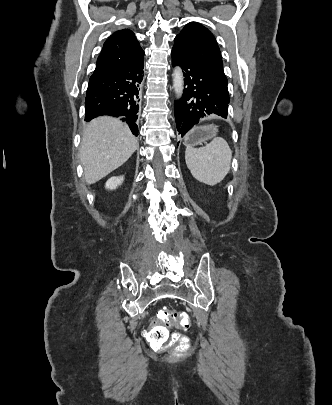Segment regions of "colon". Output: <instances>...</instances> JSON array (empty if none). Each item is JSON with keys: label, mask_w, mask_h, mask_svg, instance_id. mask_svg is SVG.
I'll list each match as a JSON object with an SVG mask.
<instances>
[{"label": "colon", "mask_w": 332, "mask_h": 405, "mask_svg": "<svg viewBox=\"0 0 332 405\" xmlns=\"http://www.w3.org/2000/svg\"><path fill=\"white\" fill-rule=\"evenodd\" d=\"M153 326L148 332L149 341L156 347L163 346L166 342L178 344L186 347L188 345V338L180 333L169 334L168 330L159 324L164 322H174L177 326L188 329L190 324L193 323V316L187 315L185 312L176 310H160L158 315L152 317Z\"/></svg>", "instance_id": "5ec220e1"}]
</instances>
